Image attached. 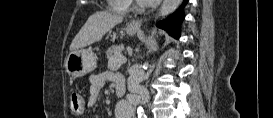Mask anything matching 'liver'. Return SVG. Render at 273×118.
Masks as SVG:
<instances>
[{"label": "liver", "mask_w": 273, "mask_h": 118, "mask_svg": "<svg viewBox=\"0 0 273 118\" xmlns=\"http://www.w3.org/2000/svg\"><path fill=\"white\" fill-rule=\"evenodd\" d=\"M122 21L123 16L105 11L92 14L73 39L70 45V51L73 52L100 41L106 32Z\"/></svg>", "instance_id": "1"}]
</instances>
